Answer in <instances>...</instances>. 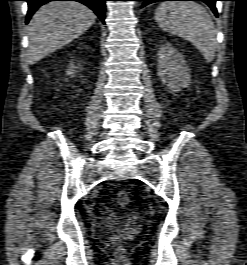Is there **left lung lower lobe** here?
Masks as SVG:
<instances>
[{
	"mask_svg": "<svg viewBox=\"0 0 247 265\" xmlns=\"http://www.w3.org/2000/svg\"><path fill=\"white\" fill-rule=\"evenodd\" d=\"M137 1H143V5L142 7H145L151 3L157 2V1H169V0H137ZM192 1H202L204 3H206L213 11V13L215 14L216 17H218V13H217V9L215 7V3L216 1L219 0H192Z\"/></svg>",
	"mask_w": 247,
	"mask_h": 265,
	"instance_id": "obj_1",
	"label": "left lung lower lobe"
}]
</instances>
